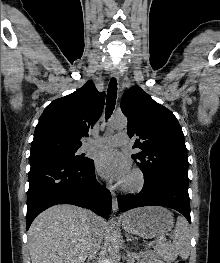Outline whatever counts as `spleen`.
<instances>
[{
	"instance_id": "spleen-1",
	"label": "spleen",
	"mask_w": 220,
	"mask_h": 263,
	"mask_svg": "<svg viewBox=\"0 0 220 263\" xmlns=\"http://www.w3.org/2000/svg\"><path fill=\"white\" fill-rule=\"evenodd\" d=\"M171 252L183 259H187L190 253V233L187 221L179 217L174 230L173 242L170 245Z\"/></svg>"
}]
</instances>
